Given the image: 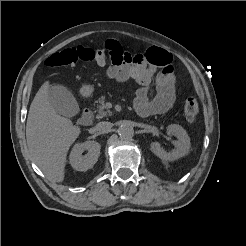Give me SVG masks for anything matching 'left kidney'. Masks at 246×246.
I'll return each instance as SVG.
<instances>
[{
  "mask_svg": "<svg viewBox=\"0 0 246 246\" xmlns=\"http://www.w3.org/2000/svg\"><path fill=\"white\" fill-rule=\"evenodd\" d=\"M167 134L174 135L177 140L174 141L175 150L172 152L165 151L160 143L152 142L151 151L164 161H174L188 154L190 149V139L186 130L177 124H171L167 127Z\"/></svg>",
  "mask_w": 246,
  "mask_h": 246,
  "instance_id": "obj_1",
  "label": "left kidney"
}]
</instances>
